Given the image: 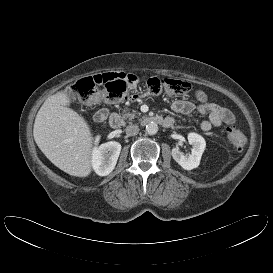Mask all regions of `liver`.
Wrapping results in <instances>:
<instances>
[{
  "instance_id": "6515ba94",
  "label": "liver",
  "mask_w": 273,
  "mask_h": 273,
  "mask_svg": "<svg viewBox=\"0 0 273 273\" xmlns=\"http://www.w3.org/2000/svg\"><path fill=\"white\" fill-rule=\"evenodd\" d=\"M67 91L45 100L34 123L33 136L43 154L69 175L87 177L92 171L93 135L85 119L68 108Z\"/></svg>"
}]
</instances>
